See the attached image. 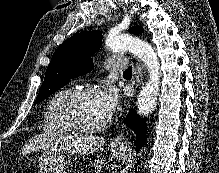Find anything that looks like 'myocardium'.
I'll list each match as a JSON object with an SVG mask.
<instances>
[{"instance_id": "f54148a6", "label": "myocardium", "mask_w": 219, "mask_h": 173, "mask_svg": "<svg viewBox=\"0 0 219 173\" xmlns=\"http://www.w3.org/2000/svg\"><path fill=\"white\" fill-rule=\"evenodd\" d=\"M93 93H98L92 86H82L72 90L63 100L60 106V117L63 124L72 132L81 135L94 134L104 130L111 121L108 115L101 123L95 126H82L74 118L73 106L81 97Z\"/></svg>"}]
</instances>
